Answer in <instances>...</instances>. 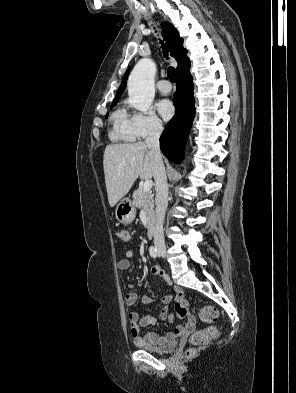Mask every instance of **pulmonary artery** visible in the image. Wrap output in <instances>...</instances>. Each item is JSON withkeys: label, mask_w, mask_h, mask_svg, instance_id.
<instances>
[{"label": "pulmonary artery", "mask_w": 296, "mask_h": 393, "mask_svg": "<svg viewBox=\"0 0 296 393\" xmlns=\"http://www.w3.org/2000/svg\"><path fill=\"white\" fill-rule=\"evenodd\" d=\"M157 88L161 93L168 94V93H170L172 86L168 80L162 79V80L158 81Z\"/></svg>", "instance_id": "obj_1"}]
</instances>
